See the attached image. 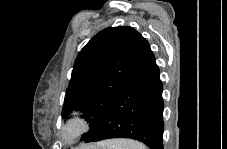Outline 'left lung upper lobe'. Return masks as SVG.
I'll list each match as a JSON object with an SVG mask.
<instances>
[{"label": "left lung upper lobe", "mask_w": 227, "mask_h": 149, "mask_svg": "<svg viewBox=\"0 0 227 149\" xmlns=\"http://www.w3.org/2000/svg\"><path fill=\"white\" fill-rule=\"evenodd\" d=\"M145 38L134 28H106L79 52L64 99L63 117L73 110L84 112L90 131L117 98L134 67Z\"/></svg>", "instance_id": "1"}]
</instances>
